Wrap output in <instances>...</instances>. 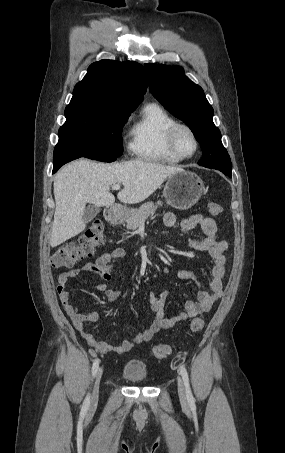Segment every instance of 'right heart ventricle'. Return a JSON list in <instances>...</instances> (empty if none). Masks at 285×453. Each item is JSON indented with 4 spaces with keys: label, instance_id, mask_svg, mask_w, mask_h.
I'll list each match as a JSON object with an SVG mask.
<instances>
[{
    "label": "right heart ventricle",
    "instance_id": "1",
    "mask_svg": "<svg viewBox=\"0 0 285 453\" xmlns=\"http://www.w3.org/2000/svg\"><path fill=\"white\" fill-rule=\"evenodd\" d=\"M176 120L159 104H146L133 123L129 150L138 158L175 164L182 161L168 147L167 134Z\"/></svg>",
    "mask_w": 285,
    "mask_h": 453
}]
</instances>
